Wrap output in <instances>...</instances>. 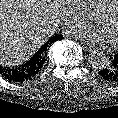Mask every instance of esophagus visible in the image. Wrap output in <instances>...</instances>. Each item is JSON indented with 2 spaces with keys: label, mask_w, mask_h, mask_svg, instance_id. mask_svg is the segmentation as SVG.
Masks as SVG:
<instances>
[{
  "label": "esophagus",
  "mask_w": 118,
  "mask_h": 118,
  "mask_svg": "<svg viewBox=\"0 0 118 118\" xmlns=\"http://www.w3.org/2000/svg\"><path fill=\"white\" fill-rule=\"evenodd\" d=\"M82 47H83V49H84L85 51H88V52H93V51H94V48L89 47V46H87V45H85V44H82Z\"/></svg>",
  "instance_id": "esophagus-1"
}]
</instances>
